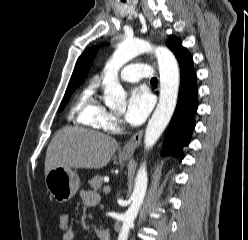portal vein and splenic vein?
<instances>
[{"instance_id": "1", "label": "portal vein and splenic vein", "mask_w": 248, "mask_h": 240, "mask_svg": "<svg viewBox=\"0 0 248 240\" xmlns=\"http://www.w3.org/2000/svg\"><path fill=\"white\" fill-rule=\"evenodd\" d=\"M110 191H111V187H110L109 185L104 186L103 192H104L105 194H108Z\"/></svg>"}]
</instances>
